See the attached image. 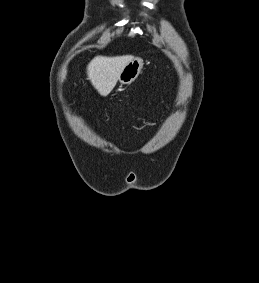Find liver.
Listing matches in <instances>:
<instances>
[{
    "mask_svg": "<svg viewBox=\"0 0 259 283\" xmlns=\"http://www.w3.org/2000/svg\"><path fill=\"white\" fill-rule=\"evenodd\" d=\"M133 59L132 55L97 56L87 66L88 79L101 96H107L115 87L124 67Z\"/></svg>",
    "mask_w": 259,
    "mask_h": 283,
    "instance_id": "1",
    "label": "liver"
}]
</instances>
